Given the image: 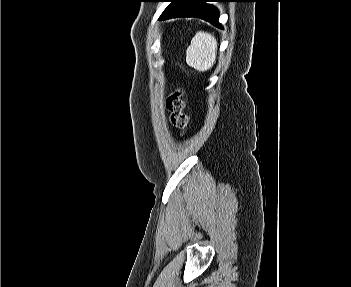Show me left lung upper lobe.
<instances>
[{
  "label": "left lung upper lobe",
  "instance_id": "obj_1",
  "mask_svg": "<svg viewBox=\"0 0 351 287\" xmlns=\"http://www.w3.org/2000/svg\"><path fill=\"white\" fill-rule=\"evenodd\" d=\"M166 1H169V2H171L172 0H166Z\"/></svg>",
  "mask_w": 351,
  "mask_h": 287
}]
</instances>
